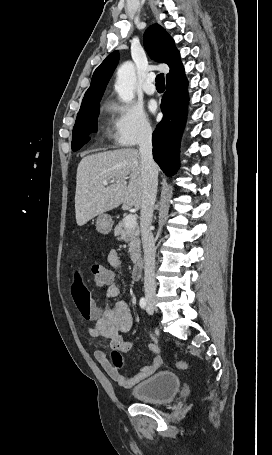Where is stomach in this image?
<instances>
[{"mask_svg":"<svg viewBox=\"0 0 272 455\" xmlns=\"http://www.w3.org/2000/svg\"><path fill=\"white\" fill-rule=\"evenodd\" d=\"M113 221L110 215L100 214L97 218L96 228L101 234H109L112 230Z\"/></svg>","mask_w":272,"mask_h":455,"instance_id":"obj_1","label":"stomach"}]
</instances>
